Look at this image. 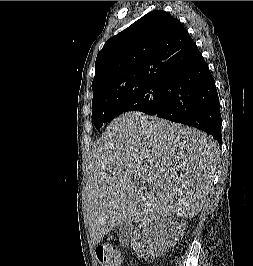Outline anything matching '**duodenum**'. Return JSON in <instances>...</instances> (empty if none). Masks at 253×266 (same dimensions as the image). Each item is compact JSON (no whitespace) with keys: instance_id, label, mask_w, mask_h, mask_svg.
I'll use <instances>...</instances> for the list:
<instances>
[{"instance_id":"duodenum-1","label":"duodenum","mask_w":253,"mask_h":266,"mask_svg":"<svg viewBox=\"0 0 253 266\" xmlns=\"http://www.w3.org/2000/svg\"><path fill=\"white\" fill-rule=\"evenodd\" d=\"M130 228H127V234H126V238L129 239L130 238Z\"/></svg>"}]
</instances>
